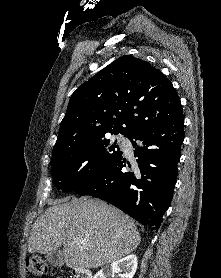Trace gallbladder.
<instances>
[{
  "label": "gallbladder",
  "mask_w": 221,
  "mask_h": 278,
  "mask_svg": "<svg viewBox=\"0 0 221 278\" xmlns=\"http://www.w3.org/2000/svg\"><path fill=\"white\" fill-rule=\"evenodd\" d=\"M47 261L54 267H61L65 263L62 251L56 250L46 254Z\"/></svg>",
  "instance_id": "bac80fb5"
}]
</instances>
